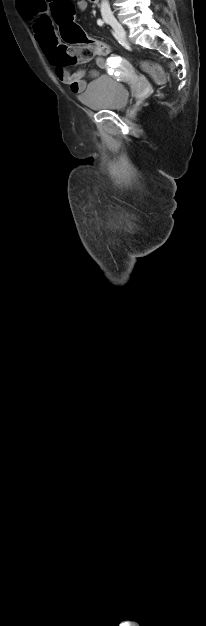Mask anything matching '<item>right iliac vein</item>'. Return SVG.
<instances>
[{"instance_id": "obj_1", "label": "right iliac vein", "mask_w": 206, "mask_h": 626, "mask_svg": "<svg viewBox=\"0 0 206 626\" xmlns=\"http://www.w3.org/2000/svg\"><path fill=\"white\" fill-rule=\"evenodd\" d=\"M106 23L112 26L117 35L124 41H126V31L123 26L113 16L105 17Z\"/></svg>"}]
</instances>
